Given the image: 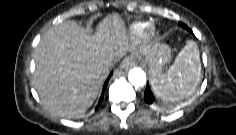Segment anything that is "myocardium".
Instances as JSON below:
<instances>
[{"instance_id": "1", "label": "myocardium", "mask_w": 236, "mask_h": 135, "mask_svg": "<svg viewBox=\"0 0 236 135\" xmlns=\"http://www.w3.org/2000/svg\"><path fill=\"white\" fill-rule=\"evenodd\" d=\"M144 38L148 41L153 40L158 33L157 25L154 21H150L146 24L144 29Z\"/></svg>"}]
</instances>
